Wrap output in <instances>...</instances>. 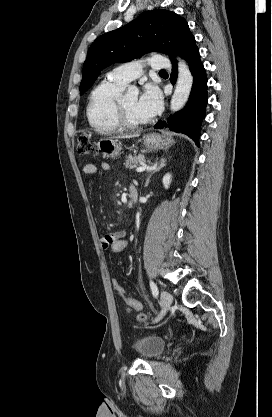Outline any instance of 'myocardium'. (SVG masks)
I'll return each instance as SVG.
<instances>
[{
    "label": "myocardium",
    "instance_id": "obj_1",
    "mask_svg": "<svg viewBox=\"0 0 272 417\" xmlns=\"http://www.w3.org/2000/svg\"><path fill=\"white\" fill-rule=\"evenodd\" d=\"M115 118L119 127L125 130H136L148 123V121L135 123L128 118L123 106V97H119V99L117 100L115 107Z\"/></svg>",
    "mask_w": 272,
    "mask_h": 417
}]
</instances>
